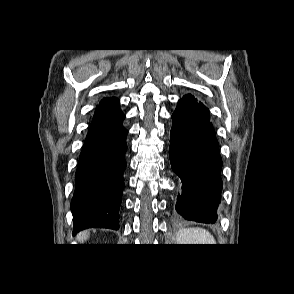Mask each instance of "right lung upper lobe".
<instances>
[{
  "label": "right lung upper lobe",
  "instance_id": "1",
  "mask_svg": "<svg viewBox=\"0 0 294 294\" xmlns=\"http://www.w3.org/2000/svg\"><path fill=\"white\" fill-rule=\"evenodd\" d=\"M115 100H117V99L114 97L113 98H105L100 103L111 102V101H115Z\"/></svg>",
  "mask_w": 294,
  "mask_h": 294
}]
</instances>
